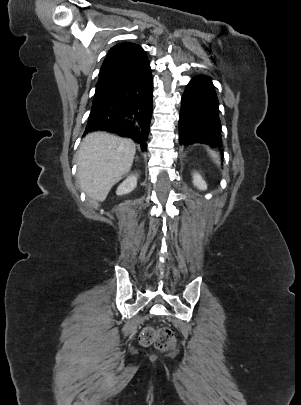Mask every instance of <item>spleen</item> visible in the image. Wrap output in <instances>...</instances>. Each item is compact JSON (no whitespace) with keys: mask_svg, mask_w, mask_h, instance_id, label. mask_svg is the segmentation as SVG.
<instances>
[{"mask_svg":"<svg viewBox=\"0 0 301 405\" xmlns=\"http://www.w3.org/2000/svg\"><path fill=\"white\" fill-rule=\"evenodd\" d=\"M210 154H211V156H212V158H213L214 160H217V159H218V156H217L216 154H214V153H212V152H210Z\"/></svg>","mask_w":301,"mask_h":405,"instance_id":"obj_1","label":"spleen"}]
</instances>
